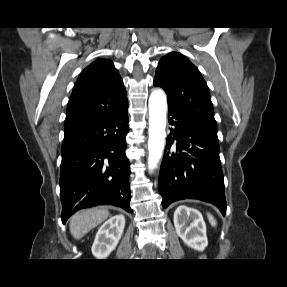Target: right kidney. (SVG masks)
Here are the masks:
<instances>
[{
	"label": "right kidney",
	"mask_w": 287,
	"mask_h": 287,
	"mask_svg": "<svg viewBox=\"0 0 287 287\" xmlns=\"http://www.w3.org/2000/svg\"><path fill=\"white\" fill-rule=\"evenodd\" d=\"M125 227L124 215L108 219L98 230L92 245V254L97 259H105L117 246Z\"/></svg>",
	"instance_id": "ca27d5eb"
}]
</instances>
